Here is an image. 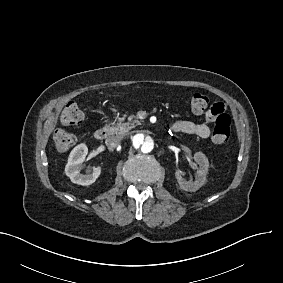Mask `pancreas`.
Here are the masks:
<instances>
[{"instance_id": "obj_1", "label": "pancreas", "mask_w": 283, "mask_h": 283, "mask_svg": "<svg viewBox=\"0 0 283 283\" xmlns=\"http://www.w3.org/2000/svg\"><path fill=\"white\" fill-rule=\"evenodd\" d=\"M128 122H122L121 119L114 123L113 126H109V131L112 134L124 136L130 129L134 128L138 123V118L135 115H129L127 118Z\"/></svg>"}]
</instances>
